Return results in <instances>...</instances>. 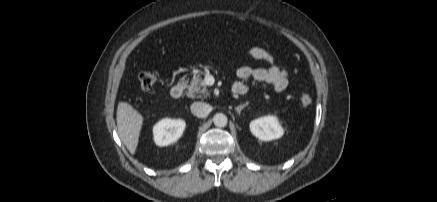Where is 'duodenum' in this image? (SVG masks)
Returning a JSON list of instances; mask_svg holds the SVG:
<instances>
[{
	"mask_svg": "<svg viewBox=\"0 0 437 202\" xmlns=\"http://www.w3.org/2000/svg\"><path fill=\"white\" fill-rule=\"evenodd\" d=\"M232 92L234 94H236V92L233 89H232ZM183 93H184V86L181 83H177V84L173 85L171 90H170L171 96L175 99L181 98Z\"/></svg>",
	"mask_w": 437,
	"mask_h": 202,
	"instance_id": "1",
	"label": "duodenum"
}]
</instances>
